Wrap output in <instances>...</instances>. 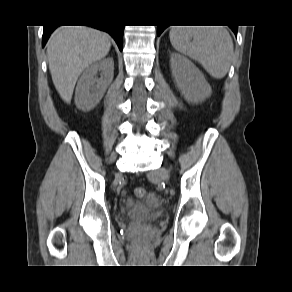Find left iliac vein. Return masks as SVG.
<instances>
[{"label": "left iliac vein", "instance_id": "1", "mask_svg": "<svg viewBox=\"0 0 292 292\" xmlns=\"http://www.w3.org/2000/svg\"><path fill=\"white\" fill-rule=\"evenodd\" d=\"M152 176H154V177H156V178H159V179H161V180H163V181H165V182H167L168 179H169V173H168V171L165 170V169H158V170H156V171L152 174Z\"/></svg>", "mask_w": 292, "mask_h": 292}]
</instances>
